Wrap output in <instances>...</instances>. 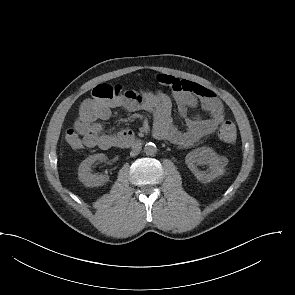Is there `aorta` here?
Masks as SVG:
<instances>
[{"instance_id": "aorta-1", "label": "aorta", "mask_w": 295, "mask_h": 295, "mask_svg": "<svg viewBox=\"0 0 295 295\" xmlns=\"http://www.w3.org/2000/svg\"><path fill=\"white\" fill-rule=\"evenodd\" d=\"M144 152L146 153V155L148 156H152L155 155L157 152V147L154 143H147L144 147Z\"/></svg>"}]
</instances>
